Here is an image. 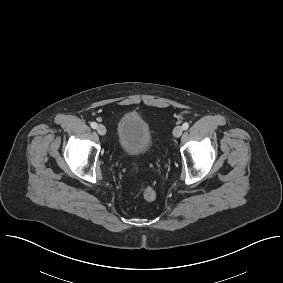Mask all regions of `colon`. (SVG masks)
<instances>
[{"label": "colon", "instance_id": "1", "mask_svg": "<svg viewBox=\"0 0 283 283\" xmlns=\"http://www.w3.org/2000/svg\"><path fill=\"white\" fill-rule=\"evenodd\" d=\"M138 189H139L140 194L145 200L147 201L155 200L157 193H156L155 188L151 184L147 182H142L139 185Z\"/></svg>", "mask_w": 283, "mask_h": 283}]
</instances>
